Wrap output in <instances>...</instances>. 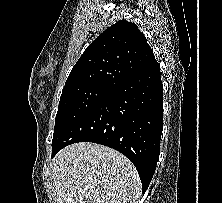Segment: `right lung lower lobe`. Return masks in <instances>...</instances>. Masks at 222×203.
<instances>
[{
	"label": "right lung lower lobe",
	"mask_w": 222,
	"mask_h": 203,
	"mask_svg": "<svg viewBox=\"0 0 222 203\" xmlns=\"http://www.w3.org/2000/svg\"><path fill=\"white\" fill-rule=\"evenodd\" d=\"M163 85L157 61L122 81L52 144V157L67 145L94 142L131 160L147 190L156 169L163 129Z\"/></svg>",
	"instance_id": "1"
}]
</instances>
